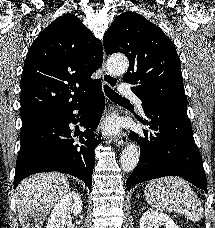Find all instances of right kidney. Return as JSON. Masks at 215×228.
<instances>
[{"label": "right kidney", "mask_w": 215, "mask_h": 228, "mask_svg": "<svg viewBox=\"0 0 215 228\" xmlns=\"http://www.w3.org/2000/svg\"><path fill=\"white\" fill-rule=\"evenodd\" d=\"M70 212L74 216L82 212L81 198L76 192H69L62 200H58L48 218L46 228H66Z\"/></svg>", "instance_id": "right-kidney-1"}]
</instances>
